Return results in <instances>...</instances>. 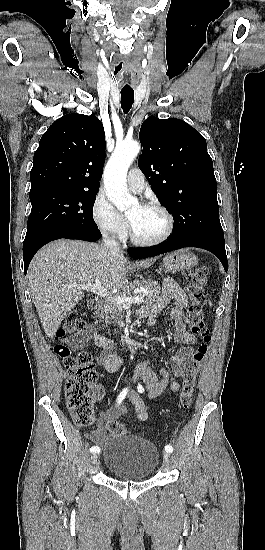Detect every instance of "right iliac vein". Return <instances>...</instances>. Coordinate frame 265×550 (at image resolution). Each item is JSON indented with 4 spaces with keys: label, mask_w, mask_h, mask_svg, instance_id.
<instances>
[{
    "label": "right iliac vein",
    "mask_w": 265,
    "mask_h": 550,
    "mask_svg": "<svg viewBox=\"0 0 265 550\" xmlns=\"http://www.w3.org/2000/svg\"><path fill=\"white\" fill-rule=\"evenodd\" d=\"M97 460H98L97 454H92V456H91L92 464H96V463H97Z\"/></svg>",
    "instance_id": "right-iliac-vein-1"
}]
</instances>
